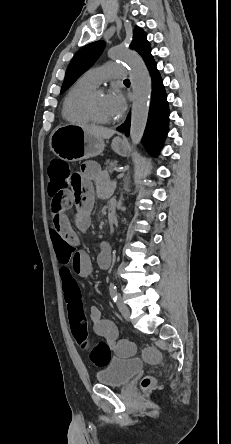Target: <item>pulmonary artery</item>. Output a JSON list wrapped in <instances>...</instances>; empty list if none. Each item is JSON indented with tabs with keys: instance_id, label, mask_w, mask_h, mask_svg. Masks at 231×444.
Returning <instances> with one entry per match:
<instances>
[{
	"instance_id": "obj_1",
	"label": "pulmonary artery",
	"mask_w": 231,
	"mask_h": 444,
	"mask_svg": "<svg viewBox=\"0 0 231 444\" xmlns=\"http://www.w3.org/2000/svg\"><path fill=\"white\" fill-rule=\"evenodd\" d=\"M126 76L127 69L114 63H107L101 67L92 68L84 74V77L96 86L105 80H123L126 78Z\"/></svg>"
}]
</instances>
